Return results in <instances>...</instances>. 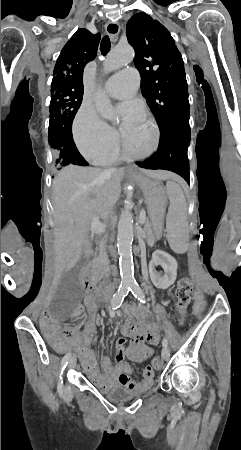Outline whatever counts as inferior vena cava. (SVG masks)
Wrapping results in <instances>:
<instances>
[{
    "label": "inferior vena cava",
    "mask_w": 241,
    "mask_h": 450,
    "mask_svg": "<svg viewBox=\"0 0 241 450\" xmlns=\"http://www.w3.org/2000/svg\"><path fill=\"white\" fill-rule=\"evenodd\" d=\"M103 174H111V170H104Z\"/></svg>",
    "instance_id": "obj_1"
}]
</instances>
